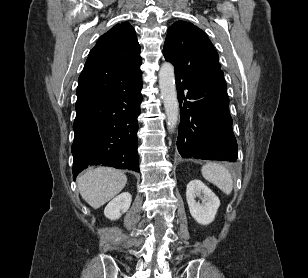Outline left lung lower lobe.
I'll return each mask as SVG.
<instances>
[{"label":"left lung lower lobe","mask_w":308,"mask_h":278,"mask_svg":"<svg viewBox=\"0 0 308 278\" xmlns=\"http://www.w3.org/2000/svg\"><path fill=\"white\" fill-rule=\"evenodd\" d=\"M181 119L177 148L183 158L236 161L229 98L223 72L176 77Z\"/></svg>","instance_id":"1"}]
</instances>
